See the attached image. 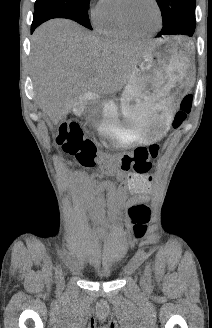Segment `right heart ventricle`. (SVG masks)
Wrapping results in <instances>:
<instances>
[{"instance_id": "1", "label": "right heart ventricle", "mask_w": 212, "mask_h": 328, "mask_svg": "<svg viewBox=\"0 0 212 328\" xmlns=\"http://www.w3.org/2000/svg\"><path fill=\"white\" fill-rule=\"evenodd\" d=\"M121 0H101L94 23L103 35L114 39H134L140 37L131 31L121 16Z\"/></svg>"}]
</instances>
